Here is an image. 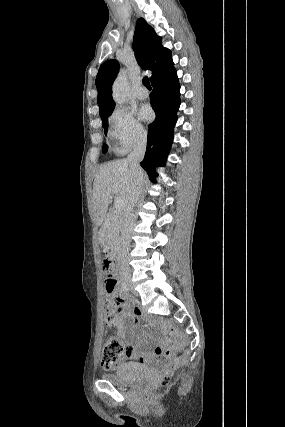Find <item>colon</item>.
<instances>
[{
	"instance_id": "5ec220e1",
	"label": "colon",
	"mask_w": 285,
	"mask_h": 427,
	"mask_svg": "<svg viewBox=\"0 0 285 427\" xmlns=\"http://www.w3.org/2000/svg\"><path fill=\"white\" fill-rule=\"evenodd\" d=\"M112 261L109 258H104L101 261V268L104 275V286L107 293L105 299V307H106V317L105 324L107 329L113 330L117 325V315L120 311L123 301L117 293V280L112 273ZM137 312H140L137 310ZM174 350H165L163 348H156L157 355H163L165 357H172ZM132 352L131 345L123 340H120L115 336L114 333H110L107 337V340L102 348L100 361L104 368L112 369L115 367L117 362L124 357L125 355H129ZM184 361L183 358L179 360L180 363ZM164 367L166 368V373L164 378L161 381V387L167 388L169 385V364L168 362L164 363Z\"/></svg>"
}]
</instances>
